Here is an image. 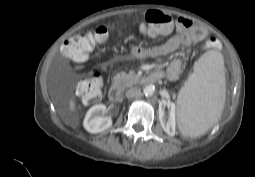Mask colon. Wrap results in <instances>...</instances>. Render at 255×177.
<instances>
[{
    "label": "colon",
    "instance_id": "colon-1",
    "mask_svg": "<svg viewBox=\"0 0 255 177\" xmlns=\"http://www.w3.org/2000/svg\"><path fill=\"white\" fill-rule=\"evenodd\" d=\"M172 22L169 15L159 10H148L144 15L140 28L145 35L158 36L170 31ZM107 32V28L101 26L76 34L64 42L61 52L65 57L75 62H84L93 50L94 44L105 40ZM208 43L210 45L215 44L210 40ZM102 83L101 72L93 69L86 78L78 83L77 94L85 103H97L101 98Z\"/></svg>",
    "mask_w": 255,
    "mask_h": 177
}]
</instances>
